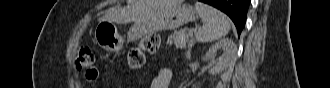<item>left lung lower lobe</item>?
Returning a JSON list of instances; mask_svg holds the SVG:
<instances>
[{"mask_svg": "<svg viewBox=\"0 0 330 88\" xmlns=\"http://www.w3.org/2000/svg\"><path fill=\"white\" fill-rule=\"evenodd\" d=\"M226 13L234 22L238 36L245 25L250 0H199Z\"/></svg>", "mask_w": 330, "mask_h": 88, "instance_id": "0a47b994", "label": "left lung lower lobe"}]
</instances>
